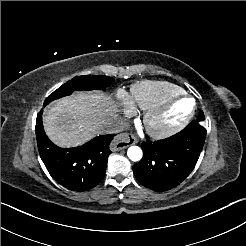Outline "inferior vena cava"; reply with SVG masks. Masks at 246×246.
<instances>
[{"label": "inferior vena cava", "mask_w": 246, "mask_h": 246, "mask_svg": "<svg viewBox=\"0 0 246 246\" xmlns=\"http://www.w3.org/2000/svg\"><path fill=\"white\" fill-rule=\"evenodd\" d=\"M122 130V122L117 121L109 126L107 129V133H118Z\"/></svg>", "instance_id": "1"}]
</instances>
